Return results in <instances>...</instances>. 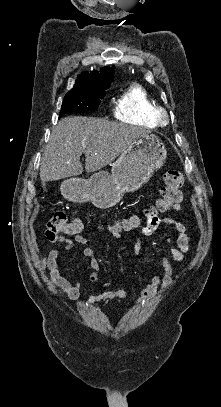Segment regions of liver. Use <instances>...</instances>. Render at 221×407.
Listing matches in <instances>:
<instances>
[{"label": "liver", "instance_id": "1", "mask_svg": "<svg viewBox=\"0 0 221 407\" xmlns=\"http://www.w3.org/2000/svg\"><path fill=\"white\" fill-rule=\"evenodd\" d=\"M147 133L144 128L102 118H62L52 130L44 151L40 178L45 183L82 174L80 157L83 153L86 172L100 170Z\"/></svg>", "mask_w": 221, "mask_h": 407}]
</instances>
